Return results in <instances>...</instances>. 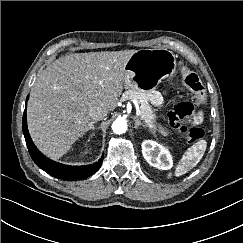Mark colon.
Returning a JSON list of instances; mask_svg holds the SVG:
<instances>
[{
	"mask_svg": "<svg viewBox=\"0 0 243 243\" xmlns=\"http://www.w3.org/2000/svg\"><path fill=\"white\" fill-rule=\"evenodd\" d=\"M182 82L192 93V102L178 103L168 114L170 127L185 136L190 142H195L203 138L204 132L199 127H187L195 119L197 106L206 104L207 92L200 76L187 68L181 66Z\"/></svg>",
	"mask_w": 243,
	"mask_h": 243,
	"instance_id": "5ec220e1",
	"label": "colon"
}]
</instances>
